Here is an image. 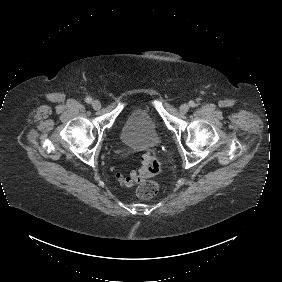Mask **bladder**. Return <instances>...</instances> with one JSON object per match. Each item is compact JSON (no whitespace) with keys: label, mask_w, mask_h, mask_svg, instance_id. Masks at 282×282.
<instances>
[{"label":"bladder","mask_w":282,"mask_h":282,"mask_svg":"<svg viewBox=\"0 0 282 282\" xmlns=\"http://www.w3.org/2000/svg\"><path fill=\"white\" fill-rule=\"evenodd\" d=\"M119 139L125 147L134 151H144L159 144L157 125L146 107H135L127 114L120 129Z\"/></svg>","instance_id":"1"}]
</instances>
